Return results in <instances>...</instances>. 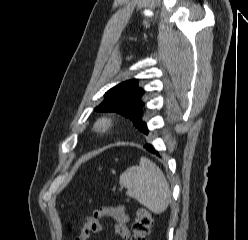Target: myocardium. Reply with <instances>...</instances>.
<instances>
[{"mask_svg": "<svg viewBox=\"0 0 248 240\" xmlns=\"http://www.w3.org/2000/svg\"><path fill=\"white\" fill-rule=\"evenodd\" d=\"M114 123L115 121L113 117L104 115L96 120L94 128L98 133H105L112 129Z\"/></svg>", "mask_w": 248, "mask_h": 240, "instance_id": "obj_1", "label": "myocardium"}]
</instances>
